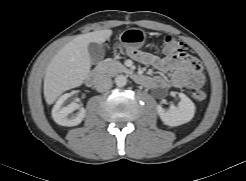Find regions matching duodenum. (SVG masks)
<instances>
[{"label": "duodenum", "instance_id": "duodenum-1", "mask_svg": "<svg viewBox=\"0 0 246 181\" xmlns=\"http://www.w3.org/2000/svg\"><path fill=\"white\" fill-rule=\"evenodd\" d=\"M133 78L139 84H146L148 82V76L142 74H133ZM104 81V74L100 69H94L90 71L86 77V82L89 86L98 87L102 85Z\"/></svg>", "mask_w": 246, "mask_h": 181}]
</instances>
